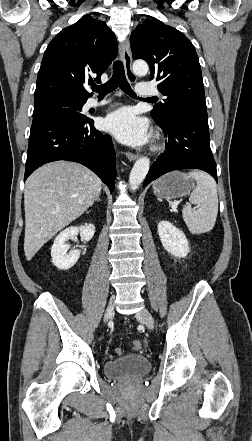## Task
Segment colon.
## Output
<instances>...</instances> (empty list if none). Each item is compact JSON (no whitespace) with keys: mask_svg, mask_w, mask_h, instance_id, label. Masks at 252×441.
<instances>
[{"mask_svg":"<svg viewBox=\"0 0 252 441\" xmlns=\"http://www.w3.org/2000/svg\"><path fill=\"white\" fill-rule=\"evenodd\" d=\"M141 348H142V343H141L140 340H134V341L132 342V349H133V350H135V351H139V350H141Z\"/></svg>","mask_w":252,"mask_h":441,"instance_id":"obj_1","label":"colon"}]
</instances>
